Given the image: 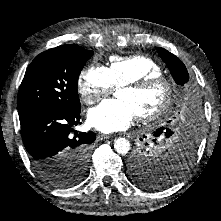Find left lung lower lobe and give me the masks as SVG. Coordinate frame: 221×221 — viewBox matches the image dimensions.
I'll return each mask as SVG.
<instances>
[{
  "label": "left lung lower lobe",
  "instance_id": "0a47b994",
  "mask_svg": "<svg viewBox=\"0 0 221 221\" xmlns=\"http://www.w3.org/2000/svg\"><path fill=\"white\" fill-rule=\"evenodd\" d=\"M200 128H201V122L198 118H194L190 121L189 131L191 136L190 139H188V141L183 144L181 150L179 151L181 160L189 162V160H191L192 156L194 155L196 147V140L194 139V136L200 133ZM157 130H158L157 133H155L156 135L169 137L173 134V132L169 128L161 127L158 128ZM182 174L183 172L178 173L179 178L182 176ZM178 179H176V181Z\"/></svg>",
  "mask_w": 221,
  "mask_h": 221
}]
</instances>
